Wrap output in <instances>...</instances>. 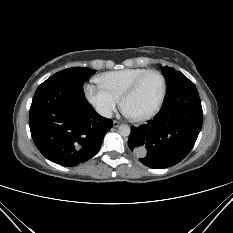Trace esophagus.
Returning <instances> with one entry per match:
<instances>
[{
  "label": "esophagus",
  "mask_w": 233,
  "mask_h": 233,
  "mask_svg": "<svg viewBox=\"0 0 233 233\" xmlns=\"http://www.w3.org/2000/svg\"><path fill=\"white\" fill-rule=\"evenodd\" d=\"M120 125V122L119 121H117V120H114L113 121V126L114 127H118Z\"/></svg>",
  "instance_id": "esophagus-1"
}]
</instances>
